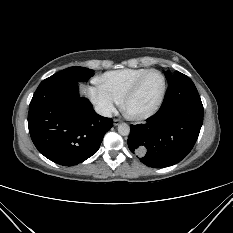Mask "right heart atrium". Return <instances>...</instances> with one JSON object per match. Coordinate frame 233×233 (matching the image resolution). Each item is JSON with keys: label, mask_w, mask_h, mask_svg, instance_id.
I'll use <instances>...</instances> for the list:
<instances>
[{"label": "right heart atrium", "mask_w": 233, "mask_h": 233, "mask_svg": "<svg viewBox=\"0 0 233 233\" xmlns=\"http://www.w3.org/2000/svg\"><path fill=\"white\" fill-rule=\"evenodd\" d=\"M87 95L96 110L104 116L111 115L119 103L118 99L98 83L87 88Z\"/></svg>", "instance_id": "1"}]
</instances>
